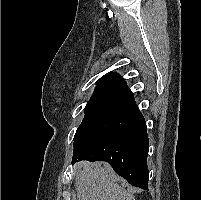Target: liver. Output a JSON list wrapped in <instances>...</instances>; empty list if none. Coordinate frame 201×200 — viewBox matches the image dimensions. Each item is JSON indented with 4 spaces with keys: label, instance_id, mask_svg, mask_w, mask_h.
<instances>
[{
    "label": "liver",
    "instance_id": "6515ba94",
    "mask_svg": "<svg viewBox=\"0 0 201 200\" xmlns=\"http://www.w3.org/2000/svg\"><path fill=\"white\" fill-rule=\"evenodd\" d=\"M74 170L78 200H135L133 194L118 185L108 164L83 161Z\"/></svg>",
    "mask_w": 201,
    "mask_h": 200
}]
</instances>
